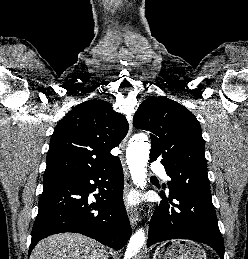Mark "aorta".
Wrapping results in <instances>:
<instances>
[{"instance_id":"762f6f07","label":"aorta","mask_w":248,"mask_h":259,"mask_svg":"<svg viewBox=\"0 0 248 259\" xmlns=\"http://www.w3.org/2000/svg\"><path fill=\"white\" fill-rule=\"evenodd\" d=\"M146 140L147 138L144 135L134 137L126 152L127 165L132 180L137 187L142 189L146 186V167L150 152V145ZM140 236L141 233H138L136 237H134L127 252L128 259H136L138 257L137 254L141 245L139 243L142 241Z\"/></svg>"}]
</instances>
